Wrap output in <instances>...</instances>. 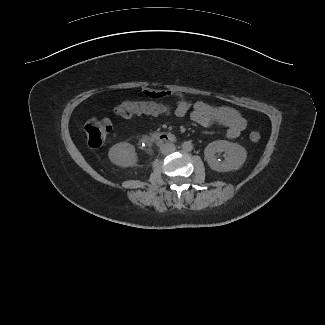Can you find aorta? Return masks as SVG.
Instances as JSON below:
<instances>
[{"label": "aorta", "mask_w": 325, "mask_h": 325, "mask_svg": "<svg viewBox=\"0 0 325 325\" xmlns=\"http://www.w3.org/2000/svg\"><path fill=\"white\" fill-rule=\"evenodd\" d=\"M182 149H183V151H185V152H190V151H192V149H193V144L191 143V141H185V142L182 144Z\"/></svg>", "instance_id": "1"}]
</instances>
